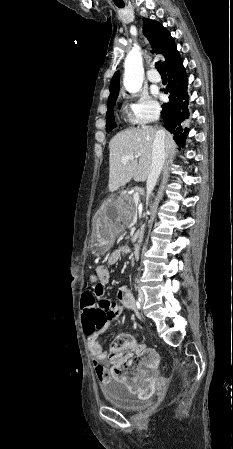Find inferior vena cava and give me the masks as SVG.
Segmentation results:
<instances>
[{
	"label": "inferior vena cava",
	"mask_w": 233,
	"mask_h": 449,
	"mask_svg": "<svg viewBox=\"0 0 233 449\" xmlns=\"http://www.w3.org/2000/svg\"><path fill=\"white\" fill-rule=\"evenodd\" d=\"M155 120H159V115ZM165 162V134L162 130H158L152 147V163L150 173L147 178V196L150 197L157 183L161 170Z\"/></svg>",
	"instance_id": "1"
}]
</instances>
